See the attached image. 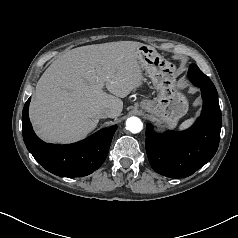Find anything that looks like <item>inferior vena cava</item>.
<instances>
[{"instance_id": "602c4592", "label": "inferior vena cava", "mask_w": 238, "mask_h": 238, "mask_svg": "<svg viewBox=\"0 0 238 238\" xmlns=\"http://www.w3.org/2000/svg\"><path fill=\"white\" fill-rule=\"evenodd\" d=\"M112 110L110 108H102L98 111L100 118H107L112 116Z\"/></svg>"}]
</instances>
